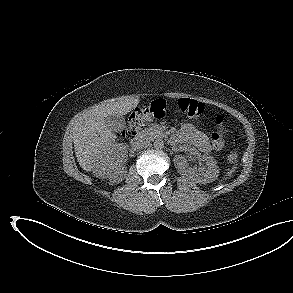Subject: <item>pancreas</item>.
<instances>
[{
    "instance_id": "obj_1",
    "label": "pancreas",
    "mask_w": 293,
    "mask_h": 293,
    "mask_svg": "<svg viewBox=\"0 0 293 293\" xmlns=\"http://www.w3.org/2000/svg\"><path fill=\"white\" fill-rule=\"evenodd\" d=\"M143 136L149 139H155L164 136V133L158 126H152L143 130Z\"/></svg>"
}]
</instances>
